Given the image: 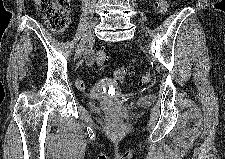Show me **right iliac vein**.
Returning <instances> with one entry per match:
<instances>
[{
  "label": "right iliac vein",
  "instance_id": "obj_1",
  "mask_svg": "<svg viewBox=\"0 0 225 159\" xmlns=\"http://www.w3.org/2000/svg\"><path fill=\"white\" fill-rule=\"evenodd\" d=\"M95 24L92 23L85 31L81 41L78 44V48L76 50L75 53V57L76 58H80L81 54L83 53L86 45L88 44V42L91 40L92 36H93V30H94Z\"/></svg>",
  "mask_w": 225,
  "mask_h": 159
}]
</instances>
